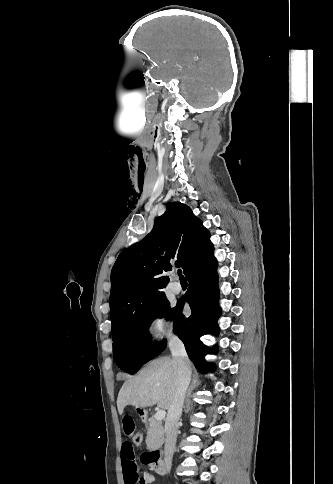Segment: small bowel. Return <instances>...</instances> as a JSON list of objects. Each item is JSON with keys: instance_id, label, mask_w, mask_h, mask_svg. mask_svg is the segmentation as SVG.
<instances>
[{"instance_id": "obj_1", "label": "small bowel", "mask_w": 333, "mask_h": 484, "mask_svg": "<svg viewBox=\"0 0 333 484\" xmlns=\"http://www.w3.org/2000/svg\"><path fill=\"white\" fill-rule=\"evenodd\" d=\"M122 429L127 437H133L136 434L135 420L130 414H124L122 417ZM122 471L125 484H150L154 477L149 472L139 473L135 459L133 445L130 441H125L121 447Z\"/></svg>"}]
</instances>
